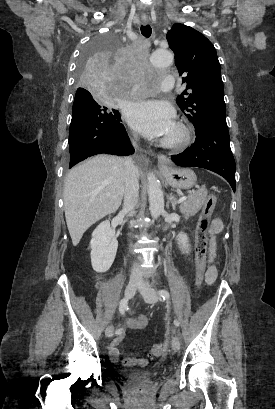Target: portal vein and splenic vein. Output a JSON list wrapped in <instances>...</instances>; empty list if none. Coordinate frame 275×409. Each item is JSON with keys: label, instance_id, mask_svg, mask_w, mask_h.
I'll use <instances>...</instances> for the list:
<instances>
[{"label": "portal vein and splenic vein", "instance_id": "18ae733b", "mask_svg": "<svg viewBox=\"0 0 275 409\" xmlns=\"http://www.w3.org/2000/svg\"><path fill=\"white\" fill-rule=\"evenodd\" d=\"M187 196H181V198H179L178 202H183V200H186Z\"/></svg>", "mask_w": 275, "mask_h": 409}]
</instances>
